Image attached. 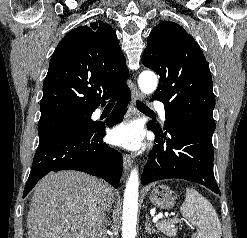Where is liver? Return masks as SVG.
<instances>
[{
	"label": "liver",
	"instance_id": "obj_1",
	"mask_svg": "<svg viewBox=\"0 0 247 238\" xmlns=\"http://www.w3.org/2000/svg\"><path fill=\"white\" fill-rule=\"evenodd\" d=\"M98 179L77 171L51 172L36 185L27 216L28 238H91L89 204ZM106 210L114 192L106 184Z\"/></svg>",
	"mask_w": 247,
	"mask_h": 238
}]
</instances>
